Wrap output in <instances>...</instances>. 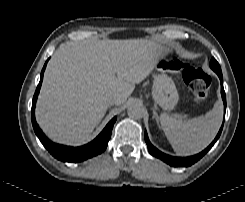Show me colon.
<instances>
[{
  "label": "colon",
  "mask_w": 245,
  "mask_h": 202,
  "mask_svg": "<svg viewBox=\"0 0 245 202\" xmlns=\"http://www.w3.org/2000/svg\"><path fill=\"white\" fill-rule=\"evenodd\" d=\"M171 65L182 73L184 80L191 88L194 98L198 101L205 99L211 87L210 77L190 62L173 59Z\"/></svg>",
  "instance_id": "1"
}]
</instances>
